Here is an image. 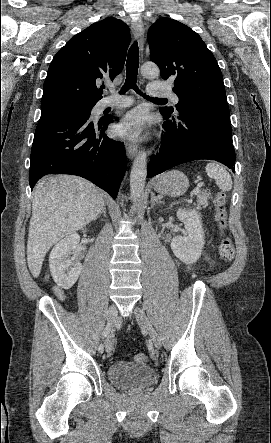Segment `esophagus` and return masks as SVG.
Wrapping results in <instances>:
<instances>
[{
    "mask_svg": "<svg viewBox=\"0 0 271 443\" xmlns=\"http://www.w3.org/2000/svg\"><path fill=\"white\" fill-rule=\"evenodd\" d=\"M131 31L133 36L138 40L139 50L143 55L145 44V28L141 20H137L131 23ZM138 151L137 145L133 143H126V153L130 160H132Z\"/></svg>",
    "mask_w": 271,
    "mask_h": 443,
    "instance_id": "34e87169",
    "label": "esophagus"
}]
</instances>
